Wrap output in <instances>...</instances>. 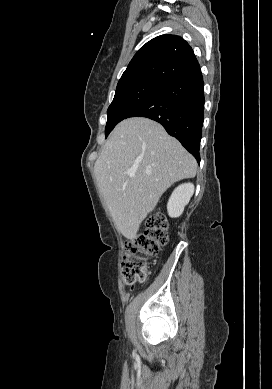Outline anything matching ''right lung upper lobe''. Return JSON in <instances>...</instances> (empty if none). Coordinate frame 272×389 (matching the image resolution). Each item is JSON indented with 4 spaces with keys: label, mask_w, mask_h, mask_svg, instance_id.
Instances as JSON below:
<instances>
[{
    "label": "right lung upper lobe",
    "mask_w": 272,
    "mask_h": 389,
    "mask_svg": "<svg viewBox=\"0 0 272 389\" xmlns=\"http://www.w3.org/2000/svg\"><path fill=\"white\" fill-rule=\"evenodd\" d=\"M200 68L192 48L181 37L161 35L147 42L134 55L118 85L137 81L168 84Z\"/></svg>",
    "instance_id": "cb5924a9"
}]
</instances>
